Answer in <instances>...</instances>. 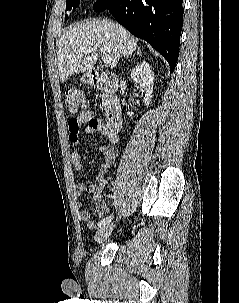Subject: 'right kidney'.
I'll return each instance as SVG.
<instances>
[{"label":"right kidney","mask_w":239,"mask_h":303,"mask_svg":"<svg viewBox=\"0 0 239 303\" xmlns=\"http://www.w3.org/2000/svg\"><path fill=\"white\" fill-rule=\"evenodd\" d=\"M131 77L135 84H139L141 88L146 90L144 104L149 105L152 98L154 84V76L149 64L146 61L137 64L131 70ZM127 115L132 117L133 113L128 112Z\"/></svg>","instance_id":"ca27d5eb"}]
</instances>
